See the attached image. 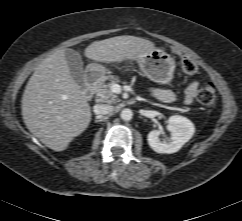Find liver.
<instances>
[{
	"label": "liver",
	"mask_w": 242,
	"mask_h": 221,
	"mask_svg": "<svg viewBox=\"0 0 242 221\" xmlns=\"http://www.w3.org/2000/svg\"><path fill=\"white\" fill-rule=\"evenodd\" d=\"M155 48L149 40L123 35L91 43L85 56L103 63L139 59ZM22 117L28 130L48 148L67 149L91 121V108L72 78L60 49L45 58L30 77L22 97Z\"/></svg>",
	"instance_id": "liver-1"
}]
</instances>
